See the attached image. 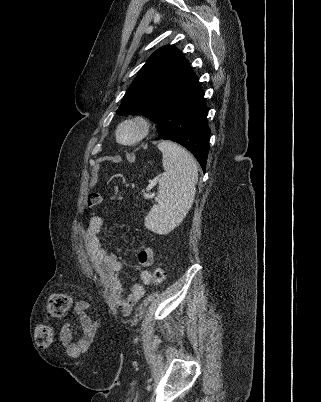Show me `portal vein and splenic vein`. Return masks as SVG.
<instances>
[{
	"label": "portal vein and splenic vein",
	"instance_id": "portal-vein-and-splenic-vein-1",
	"mask_svg": "<svg viewBox=\"0 0 321 402\" xmlns=\"http://www.w3.org/2000/svg\"><path fill=\"white\" fill-rule=\"evenodd\" d=\"M153 185H154L153 183L150 184V185L147 187L146 190H147V191L151 190V189L153 188ZM152 196H154V194H149V193H145V194H144V197H145V198H151Z\"/></svg>",
	"mask_w": 321,
	"mask_h": 402
}]
</instances>
